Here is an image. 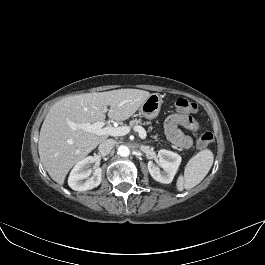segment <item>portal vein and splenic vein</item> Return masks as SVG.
Wrapping results in <instances>:
<instances>
[{"instance_id":"18ae733b","label":"portal vein and splenic vein","mask_w":265,"mask_h":265,"mask_svg":"<svg viewBox=\"0 0 265 265\" xmlns=\"http://www.w3.org/2000/svg\"><path fill=\"white\" fill-rule=\"evenodd\" d=\"M106 110V108H105ZM69 126L72 128H80L84 131L94 133L97 135H107V136H124L127 135L130 132V128L127 126L122 127H112V126H105V123L103 121H98L93 124H75L73 122H68ZM134 131L138 132L139 137L141 139H146V131L141 126H135Z\"/></svg>"}]
</instances>
